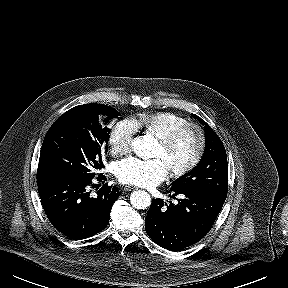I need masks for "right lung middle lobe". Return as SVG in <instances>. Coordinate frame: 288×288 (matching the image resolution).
I'll return each instance as SVG.
<instances>
[{"mask_svg": "<svg viewBox=\"0 0 288 288\" xmlns=\"http://www.w3.org/2000/svg\"><path fill=\"white\" fill-rule=\"evenodd\" d=\"M118 112L103 104L76 106L48 130L40 153L37 178L92 180L108 150L107 124Z\"/></svg>", "mask_w": 288, "mask_h": 288, "instance_id": "obj_1", "label": "right lung middle lobe"}]
</instances>
